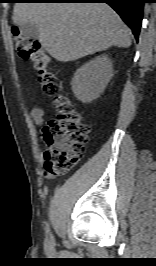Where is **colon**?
I'll use <instances>...</instances> for the list:
<instances>
[{
  "instance_id": "obj_1",
  "label": "colon",
  "mask_w": 156,
  "mask_h": 266,
  "mask_svg": "<svg viewBox=\"0 0 156 266\" xmlns=\"http://www.w3.org/2000/svg\"><path fill=\"white\" fill-rule=\"evenodd\" d=\"M12 36L20 57L32 62L44 92L53 98L56 115L43 129L45 169L49 174H64L82 159L89 127L73 103L59 94L54 75L48 69L49 58L40 43L23 36L17 28Z\"/></svg>"
}]
</instances>
